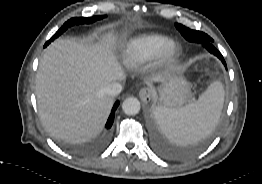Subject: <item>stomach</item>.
<instances>
[{
  "label": "stomach",
  "instance_id": "obj_1",
  "mask_svg": "<svg viewBox=\"0 0 262 184\" xmlns=\"http://www.w3.org/2000/svg\"><path fill=\"white\" fill-rule=\"evenodd\" d=\"M158 105L179 108L191 98V85L181 76H171L156 89Z\"/></svg>",
  "mask_w": 262,
  "mask_h": 184
}]
</instances>
